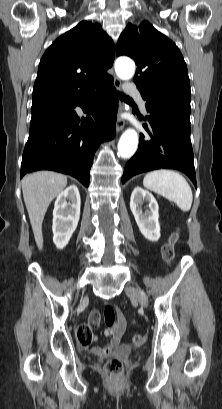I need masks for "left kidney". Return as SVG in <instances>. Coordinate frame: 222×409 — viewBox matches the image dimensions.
<instances>
[{
  "label": "left kidney",
  "instance_id": "left-kidney-1",
  "mask_svg": "<svg viewBox=\"0 0 222 409\" xmlns=\"http://www.w3.org/2000/svg\"><path fill=\"white\" fill-rule=\"evenodd\" d=\"M144 201L149 202L145 212L141 208ZM130 209L142 235L150 241H157L161 234L158 221L159 207L154 196L139 186L135 187L130 198Z\"/></svg>",
  "mask_w": 222,
  "mask_h": 409
}]
</instances>
